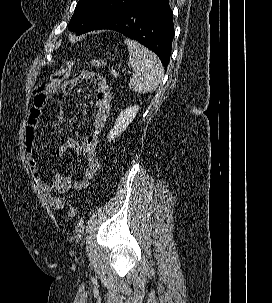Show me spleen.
<instances>
[{
    "label": "spleen",
    "instance_id": "spleen-1",
    "mask_svg": "<svg viewBox=\"0 0 272 303\" xmlns=\"http://www.w3.org/2000/svg\"><path fill=\"white\" fill-rule=\"evenodd\" d=\"M125 44L129 50L128 65L134 71L129 88L143 94L155 91L164 77L160 59L137 41L126 38Z\"/></svg>",
    "mask_w": 272,
    "mask_h": 303
}]
</instances>
